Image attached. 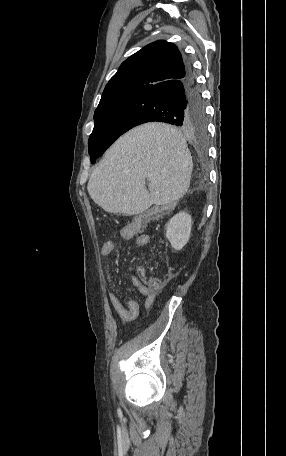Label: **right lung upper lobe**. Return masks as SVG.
I'll return each mask as SVG.
<instances>
[{"label":"right lung upper lobe","mask_w":286,"mask_h":456,"mask_svg":"<svg viewBox=\"0 0 286 456\" xmlns=\"http://www.w3.org/2000/svg\"><path fill=\"white\" fill-rule=\"evenodd\" d=\"M185 71L186 63L174 44L166 41L153 42L121 64L106 85L98 108L157 84L178 79L184 76Z\"/></svg>","instance_id":"obj_1"}]
</instances>
